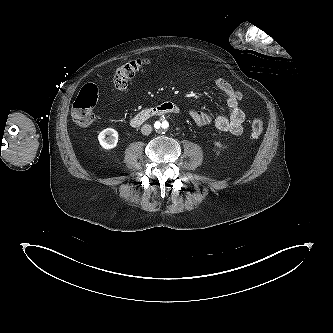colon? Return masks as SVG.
<instances>
[{"label": "colon", "instance_id": "1", "mask_svg": "<svg viewBox=\"0 0 333 333\" xmlns=\"http://www.w3.org/2000/svg\"><path fill=\"white\" fill-rule=\"evenodd\" d=\"M150 64L148 59H134L117 68L113 75V83L117 89L126 88L129 80L140 70ZM99 90L94 84H86L77 95L71 110L73 120L81 126H89L97 119L95 106L98 101ZM264 129L263 121L255 118L251 122L250 135L257 139Z\"/></svg>", "mask_w": 333, "mask_h": 333}]
</instances>
